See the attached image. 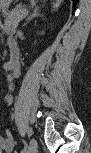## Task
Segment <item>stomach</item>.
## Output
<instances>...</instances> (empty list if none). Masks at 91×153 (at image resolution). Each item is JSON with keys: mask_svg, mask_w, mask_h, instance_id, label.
<instances>
[{"mask_svg": "<svg viewBox=\"0 0 91 153\" xmlns=\"http://www.w3.org/2000/svg\"><path fill=\"white\" fill-rule=\"evenodd\" d=\"M9 0H0V9H4L8 4Z\"/></svg>", "mask_w": 91, "mask_h": 153, "instance_id": "1", "label": "stomach"}]
</instances>
